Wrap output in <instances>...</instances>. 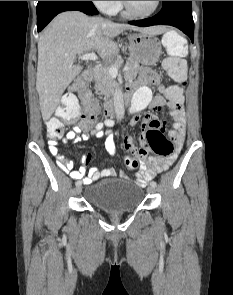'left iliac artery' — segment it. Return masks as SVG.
Returning <instances> with one entry per match:
<instances>
[{"instance_id":"44dca946","label":"left iliac artery","mask_w":233,"mask_h":295,"mask_svg":"<svg viewBox=\"0 0 233 295\" xmlns=\"http://www.w3.org/2000/svg\"><path fill=\"white\" fill-rule=\"evenodd\" d=\"M150 185L156 187L157 186V183L155 181H151L150 182Z\"/></svg>"}]
</instances>
